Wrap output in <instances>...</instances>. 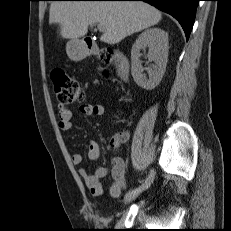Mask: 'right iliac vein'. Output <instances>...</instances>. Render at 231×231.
Returning <instances> with one entry per match:
<instances>
[{"mask_svg":"<svg viewBox=\"0 0 231 231\" xmlns=\"http://www.w3.org/2000/svg\"><path fill=\"white\" fill-rule=\"evenodd\" d=\"M155 178V171L151 170L149 176L145 180V182L139 187L138 191L128 194L125 198V204L130 203L132 200H134L140 193L148 189L151 184L153 183Z\"/></svg>","mask_w":231,"mask_h":231,"instance_id":"obj_1","label":"right iliac vein"}]
</instances>
